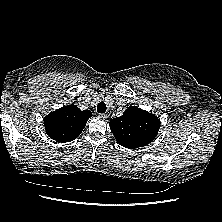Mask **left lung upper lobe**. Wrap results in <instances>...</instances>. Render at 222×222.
I'll use <instances>...</instances> for the list:
<instances>
[{
    "label": "left lung upper lobe",
    "mask_w": 222,
    "mask_h": 222,
    "mask_svg": "<svg viewBox=\"0 0 222 222\" xmlns=\"http://www.w3.org/2000/svg\"><path fill=\"white\" fill-rule=\"evenodd\" d=\"M159 128L157 116L136 106H130L122 116L110 120V129L117 142L127 148L151 143Z\"/></svg>",
    "instance_id": "left-lung-upper-lobe-1"
}]
</instances>
